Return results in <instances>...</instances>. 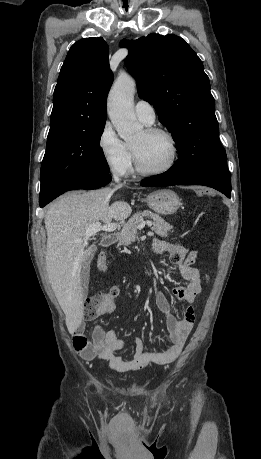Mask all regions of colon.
<instances>
[{
    "label": "colon",
    "mask_w": 261,
    "mask_h": 459,
    "mask_svg": "<svg viewBox=\"0 0 261 459\" xmlns=\"http://www.w3.org/2000/svg\"><path fill=\"white\" fill-rule=\"evenodd\" d=\"M214 188H199V197H214ZM98 266L104 269L106 266V258L104 255H100L98 258ZM109 294L107 292L98 293L90 296L85 302L84 316L88 320L95 319L101 312V310L107 305L109 301Z\"/></svg>",
    "instance_id": "1"
}]
</instances>
